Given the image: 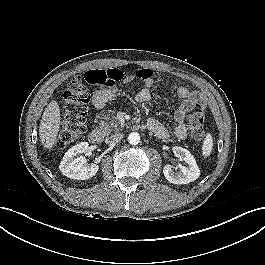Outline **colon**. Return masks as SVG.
Segmentation results:
<instances>
[{
  "label": "colon",
  "instance_id": "1",
  "mask_svg": "<svg viewBox=\"0 0 265 265\" xmlns=\"http://www.w3.org/2000/svg\"><path fill=\"white\" fill-rule=\"evenodd\" d=\"M117 70H93L86 74L85 81L92 85H111L115 82ZM152 75L148 69L135 72L141 80ZM90 93L80 76L73 78L63 92L62 125L57 138V146L61 149L74 143L86 125L87 106ZM206 114L201 105H196L189 115V125L193 138L200 140L205 135Z\"/></svg>",
  "mask_w": 265,
  "mask_h": 265
}]
</instances>
